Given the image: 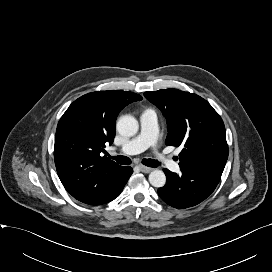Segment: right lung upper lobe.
Instances as JSON below:
<instances>
[{
	"mask_svg": "<svg viewBox=\"0 0 272 272\" xmlns=\"http://www.w3.org/2000/svg\"><path fill=\"white\" fill-rule=\"evenodd\" d=\"M140 100V95L128 91H96L75 100L63 114L56 129L54 160L58 176L72 196L121 167L100 153L114 141L119 112Z\"/></svg>",
	"mask_w": 272,
	"mask_h": 272,
	"instance_id": "cb5924a9",
	"label": "right lung upper lobe"
}]
</instances>
